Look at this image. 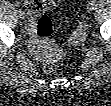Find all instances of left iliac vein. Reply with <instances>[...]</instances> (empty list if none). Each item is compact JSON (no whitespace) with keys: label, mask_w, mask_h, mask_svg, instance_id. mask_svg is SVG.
<instances>
[{"label":"left iliac vein","mask_w":111,"mask_h":106,"mask_svg":"<svg viewBox=\"0 0 111 106\" xmlns=\"http://www.w3.org/2000/svg\"><path fill=\"white\" fill-rule=\"evenodd\" d=\"M95 4L93 2H90L87 6L88 11L94 10Z\"/></svg>","instance_id":"obj_1"}]
</instances>
